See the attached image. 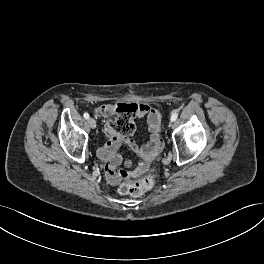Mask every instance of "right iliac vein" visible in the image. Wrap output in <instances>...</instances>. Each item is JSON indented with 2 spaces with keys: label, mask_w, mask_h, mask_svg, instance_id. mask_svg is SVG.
Here are the masks:
<instances>
[{
  "label": "right iliac vein",
  "mask_w": 264,
  "mask_h": 264,
  "mask_svg": "<svg viewBox=\"0 0 264 264\" xmlns=\"http://www.w3.org/2000/svg\"><path fill=\"white\" fill-rule=\"evenodd\" d=\"M88 124L90 125V127H91L92 129H95V128H96V121H95V119H93V118H89V119H88Z\"/></svg>",
  "instance_id": "1"
}]
</instances>
